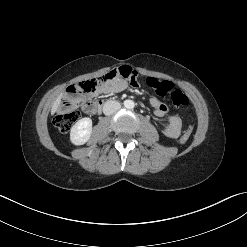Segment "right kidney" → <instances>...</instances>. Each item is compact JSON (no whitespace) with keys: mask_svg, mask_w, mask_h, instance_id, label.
Here are the masks:
<instances>
[{"mask_svg":"<svg viewBox=\"0 0 247 247\" xmlns=\"http://www.w3.org/2000/svg\"><path fill=\"white\" fill-rule=\"evenodd\" d=\"M92 133V120L88 117L82 118L77 121L70 132V141L74 145L85 144Z\"/></svg>","mask_w":247,"mask_h":247,"instance_id":"1","label":"right kidney"}]
</instances>
